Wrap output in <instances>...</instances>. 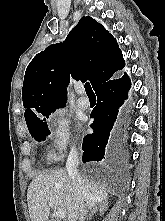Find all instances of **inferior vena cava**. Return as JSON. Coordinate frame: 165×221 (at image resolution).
I'll use <instances>...</instances> for the list:
<instances>
[{"mask_svg":"<svg viewBox=\"0 0 165 221\" xmlns=\"http://www.w3.org/2000/svg\"><path fill=\"white\" fill-rule=\"evenodd\" d=\"M78 165H79V157L78 152L75 148H72L69 158L66 163V168L68 175L73 181L74 187L77 190V193L82 197L80 201V216L79 221H84L85 216L87 214V209L85 206L84 199L89 198L90 194L86 189L84 181L82 180L81 176L78 173Z\"/></svg>","mask_w":165,"mask_h":221,"instance_id":"1","label":"inferior vena cava"}]
</instances>
